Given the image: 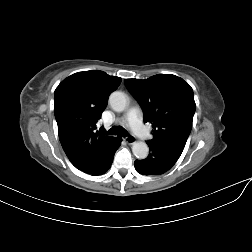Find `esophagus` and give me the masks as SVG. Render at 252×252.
<instances>
[{"instance_id": "34e87169", "label": "esophagus", "mask_w": 252, "mask_h": 252, "mask_svg": "<svg viewBox=\"0 0 252 252\" xmlns=\"http://www.w3.org/2000/svg\"><path fill=\"white\" fill-rule=\"evenodd\" d=\"M124 140H125L128 144H133V143L136 141L135 137H134V136H131V135L125 137Z\"/></svg>"}]
</instances>
